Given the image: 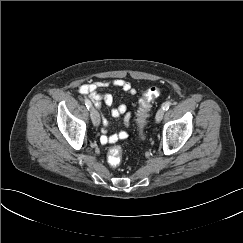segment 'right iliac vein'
Returning a JSON list of instances; mask_svg holds the SVG:
<instances>
[{
	"label": "right iliac vein",
	"mask_w": 243,
	"mask_h": 243,
	"mask_svg": "<svg viewBox=\"0 0 243 243\" xmlns=\"http://www.w3.org/2000/svg\"><path fill=\"white\" fill-rule=\"evenodd\" d=\"M91 119H92L94 126H99L100 115H99L98 111L94 108L91 109Z\"/></svg>",
	"instance_id": "63e3f726"
}]
</instances>
